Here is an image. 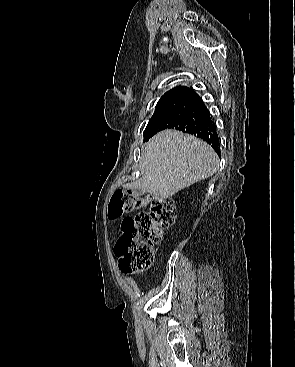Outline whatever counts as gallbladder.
Listing matches in <instances>:
<instances>
[{
  "label": "gallbladder",
  "mask_w": 295,
  "mask_h": 367,
  "mask_svg": "<svg viewBox=\"0 0 295 367\" xmlns=\"http://www.w3.org/2000/svg\"><path fill=\"white\" fill-rule=\"evenodd\" d=\"M137 194L138 195H141L142 194V191L141 190H137Z\"/></svg>",
  "instance_id": "bac80fb5"
}]
</instances>
